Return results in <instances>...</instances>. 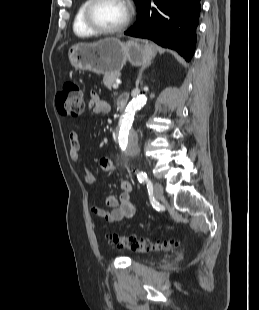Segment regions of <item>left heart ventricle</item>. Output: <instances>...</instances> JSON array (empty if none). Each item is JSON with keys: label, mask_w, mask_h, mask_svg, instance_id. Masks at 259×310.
<instances>
[{"label": "left heart ventricle", "mask_w": 259, "mask_h": 310, "mask_svg": "<svg viewBox=\"0 0 259 310\" xmlns=\"http://www.w3.org/2000/svg\"><path fill=\"white\" fill-rule=\"evenodd\" d=\"M94 21L104 28L121 25L127 16V8L120 0H101L93 9Z\"/></svg>", "instance_id": "left-heart-ventricle-1"}]
</instances>
